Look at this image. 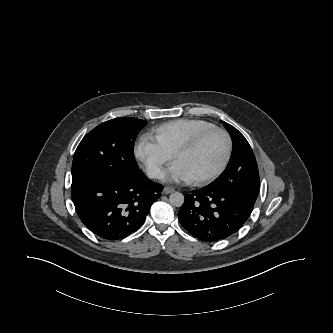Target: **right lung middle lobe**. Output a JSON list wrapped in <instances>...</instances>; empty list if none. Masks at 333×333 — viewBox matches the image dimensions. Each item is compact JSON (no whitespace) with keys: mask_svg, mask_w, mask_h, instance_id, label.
Here are the masks:
<instances>
[{"mask_svg":"<svg viewBox=\"0 0 333 333\" xmlns=\"http://www.w3.org/2000/svg\"><path fill=\"white\" fill-rule=\"evenodd\" d=\"M145 120L120 117L90 131L78 145L72 163V183L95 176L127 179L139 170L134 141Z\"/></svg>","mask_w":333,"mask_h":333,"instance_id":"obj_1","label":"right lung middle lobe"}]
</instances>
